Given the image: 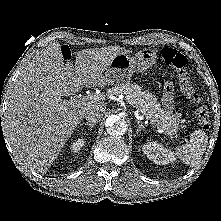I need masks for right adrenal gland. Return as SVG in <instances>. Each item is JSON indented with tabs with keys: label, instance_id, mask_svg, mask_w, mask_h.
I'll return each mask as SVG.
<instances>
[{
	"label": "right adrenal gland",
	"instance_id": "1",
	"mask_svg": "<svg viewBox=\"0 0 221 221\" xmlns=\"http://www.w3.org/2000/svg\"><path fill=\"white\" fill-rule=\"evenodd\" d=\"M82 125H86V126H89L90 130H92V128L95 126L94 123H88V122H83V123H80V126Z\"/></svg>",
	"mask_w": 221,
	"mask_h": 221
}]
</instances>
